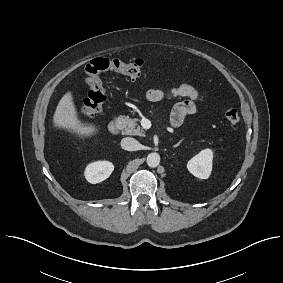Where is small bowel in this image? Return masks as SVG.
<instances>
[{
	"mask_svg": "<svg viewBox=\"0 0 283 283\" xmlns=\"http://www.w3.org/2000/svg\"><path fill=\"white\" fill-rule=\"evenodd\" d=\"M145 96L147 100L151 102H158L168 97L187 99L177 103L172 110L170 123L175 128L183 123L186 116L195 115L197 113L196 103L202 100L198 91L189 84H180L168 91L162 89H149L146 91Z\"/></svg>",
	"mask_w": 283,
	"mask_h": 283,
	"instance_id": "c3829d8e",
	"label": "small bowel"
}]
</instances>
